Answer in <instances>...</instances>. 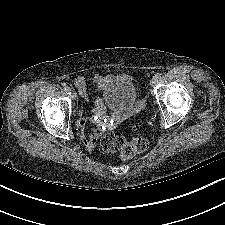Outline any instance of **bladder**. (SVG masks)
Instances as JSON below:
<instances>
[{
	"instance_id": "1",
	"label": "bladder",
	"mask_w": 225,
	"mask_h": 225,
	"mask_svg": "<svg viewBox=\"0 0 225 225\" xmlns=\"http://www.w3.org/2000/svg\"><path fill=\"white\" fill-rule=\"evenodd\" d=\"M102 99L112 109L134 111L138 104V93L131 82L115 78L103 88Z\"/></svg>"
}]
</instances>
